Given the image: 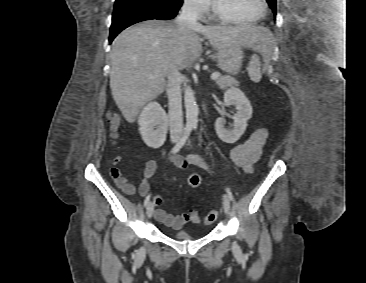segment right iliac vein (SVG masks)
<instances>
[{
	"instance_id": "1",
	"label": "right iliac vein",
	"mask_w": 366,
	"mask_h": 283,
	"mask_svg": "<svg viewBox=\"0 0 366 283\" xmlns=\"http://www.w3.org/2000/svg\"><path fill=\"white\" fill-rule=\"evenodd\" d=\"M179 135H175L172 137L173 142H177L179 140ZM154 212V205L152 202H150L146 207V214L148 218H151Z\"/></svg>"
}]
</instances>
